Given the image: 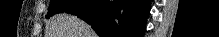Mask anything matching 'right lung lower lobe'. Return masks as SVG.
Masks as SVG:
<instances>
[{"label":"right lung lower lobe","instance_id":"1","mask_svg":"<svg viewBox=\"0 0 219 37\" xmlns=\"http://www.w3.org/2000/svg\"><path fill=\"white\" fill-rule=\"evenodd\" d=\"M149 0H80L65 13L78 16L100 37H142Z\"/></svg>","mask_w":219,"mask_h":37}]
</instances>
